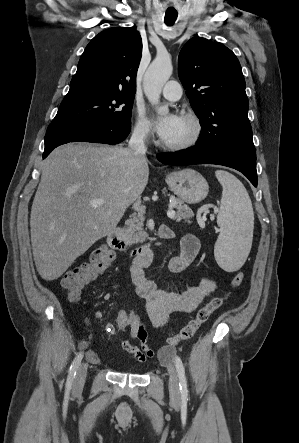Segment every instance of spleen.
I'll return each instance as SVG.
<instances>
[{"label":"spleen","instance_id":"spleen-1","mask_svg":"<svg viewBox=\"0 0 299 443\" xmlns=\"http://www.w3.org/2000/svg\"><path fill=\"white\" fill-rule=\"evenodd\" d=\"M215 175L223 191L217 216L221 231L214 255L222 269L234 272L243 266L250 252L254 213L247 190L234 175L223 170H217Z\"/></svg>","mask_w":299,"mask_h":443}]
</instances>
